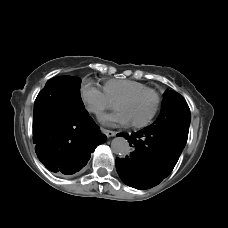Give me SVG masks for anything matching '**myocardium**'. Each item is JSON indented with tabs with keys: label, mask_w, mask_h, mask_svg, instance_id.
<instances>
[{
	"label": "myocardium",
	"mask_w": 228,
	"mask_h": 228,
	"mask_svg": "<svg viewBox=\"0 0 228 228\" xmlns=\"http://www.w3.org/2000/svg\"><path fill=\"white\" fill-rule=\"evenodd\" d=\"M148 93H151L152 95H154L155 97V105H154V108L152 110V112L143 120L141 121H131V124L135 127H142V126H145L146 124H148L153 118L154 116L156 115L158 109H159V106H160V96L158 94L157 91H155L154 89H147V90H143V91H140V92H137L135 94H132L126 98H124L122 101H120L117 105L118 109L123 112L121 110V108L126 105L127 103L131 102L132 100H135L136 98H138L139 96H142L144 94H148ZM124 113V112H123Z\"/></svg>",
	"instance_id": "1"
}]
</instances>
